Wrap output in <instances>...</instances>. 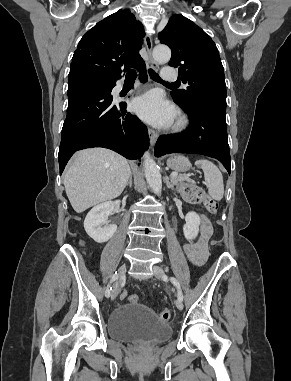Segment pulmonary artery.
<instances>
[{"label": "pulmonary artery", "instance_id": "obj_1", "mask_svg": "<svg viewBox=\"0 0 291 381\" xmlns=\"http://www.w3.org/2000/svg\"><path fill=\"white\" fill-rule=\"evenodd\" d=\"M162 77L166 81H175L177 80V70L173 66H164Z\"/></svg>", "mask_w": 291, "mask_h": 381}]
</instances>
